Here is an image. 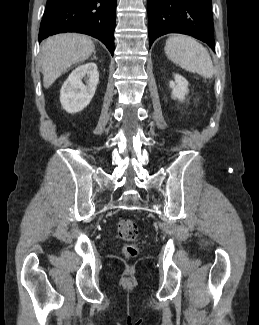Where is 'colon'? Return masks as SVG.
Returning <instances> with one entry per match:
<instances>
[{"mask_svg":"<svg viewBox=\"0 0 259 325\" xmlns=\"http://www.w3.org/2000/svg\"><path fill=\"white\" fill-rule=\"evenodd\" d=\"M118 237L126 242L122 247V253L126 258L137 256L139 248L135 241L138 238L139 230L137 224L130 219H122L117 224Z\"/></svg>","mask_w":259,"mask_h":325,"instance_id":"colon-1","label":"colon"}]
</instances>
